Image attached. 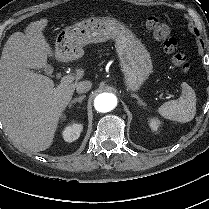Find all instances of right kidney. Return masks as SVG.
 I'll return each instance as SVG.
<instances>
[{
	"label": "right kidney",
	"mask_w": 209,
	"mask_h": 209,
	"mask_svg": "<svg viewBox=\"0 0 209 209\" xmlns=\"http://www.w3.org/2000/svg\"><path fill=\"white\" fill-rule=\"evenodd\" d=\"M66 119V116H63V120ZM83 130L82 124L73 123L62 131V136L66 142H73L77 140L80 136L81 131Z\"/></svg>",
	"instance_id": "right-kidney-1"
}]
</instances>
